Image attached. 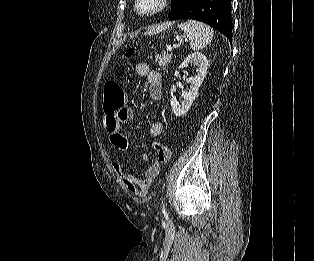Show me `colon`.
<instances>
[{"mask_svg": "<svg viewBox=\"0 0 314 261\" xmlns=\"http://www.w3.org/2000/svg\"><path fill=\"white\" fill-rule=\"evenodd\" d=\"M135 48H129L126 51V57L131 58L135 54ZM125 102L124 90L116 81H109L104 87V110L111 112L112 109H118ZM159 163H167L171 157V150L164 144L155 141L153 143Z\"/></svg>", "mask_w": 314, "mask_h": 261, "instance_id": "colon-1", "label": "colon"}]
</instances>
